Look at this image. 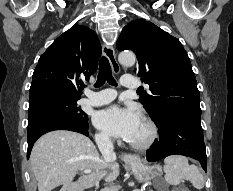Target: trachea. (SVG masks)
<instances>
[{
  "label": "trachea",
  "mask_w": 233,
  "mask_h": 191,
  "mask_svg": "<svg viewBox=\"0 0 233 191\" xmlns=\"http://www.w3.org/2000/svg\"><path fill=\"white\" fill-rule=\"evenodd\" d=\"M105 81H107L111 85H116V82L112 76V70L108 59L106 57H101L99 61V74L95 87L102 86ZM84 87L85 85H81V89H84Z\"/></svg>",
  "instance_id": "3493384b"
}]
</instances>
